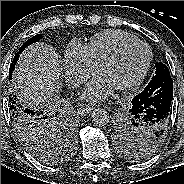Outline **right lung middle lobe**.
<instances>
[{
  "label": "right lung middle lobe",
  "mask_w": 184,
  "mask_h": 184,
  "mask_svg": "<svg viewBox=\"0 0 184 184\" xmlns=\"http://www.w3.org/2000/svg\"><path fill=\"white\" fill-rule=\"evenodd\" d=\"M38 34L28 39L15 54L10 65L9 78L15 68L19 55L34 42L41 39ZM40 106H30L17 96L10 98V109L15 122L16 129L27 150L44 163H55V148L59 144L70 142L72 144L73 134L64 115L60 111L41 110Z\"/></svg>",
  "instance_id": "1"
}]
</instances>
